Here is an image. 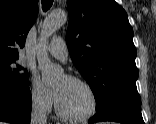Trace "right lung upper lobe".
I'll list each match as a JSON object with an SVG mask.
<instances>
[{
  "instance_id": "cb5924a9",
  "label": "right lung upper lobe",
  "mask_w": 156,
  "mask_h": 124,
  "mask_svg": "<svg viewBox=\"0 0 156 124\" xmlns=\"http://www.w3.org/2000/svg\"><path fill=\"white\" fill-rule=\"evenodd\" d=\"M37 14L38 0H0V61L19 58Z\"/></svg>"
}]
</instances>
